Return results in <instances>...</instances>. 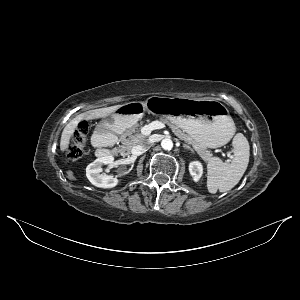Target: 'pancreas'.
<instances>
[{"label": "pancreas", "mask_w": 300, "mask_h": 300, "mask_svg": "<svg viewBox=\"0 0 300 300\" xmlns=\"http://www.w3.org/2000/svg\"><path fill=\"white\" fill-rule=\"evenodd\" d=\"M161 121L168 124L172 129L173 133L178 138L184 140L188 144H191L204 161H209L211 159L212 153L209 150H207V148L204 145L194 141L189 135L183 133L176 125H174L171 122H168L166 119H161ZM138 127L139 125L137 124L121 135V145L119 147V151L121 153L129 151L133 146H135L138 143H141L146 139V136L139 132Z\"/></svg>", "instance_id": "obj_1"}]
</instances>
